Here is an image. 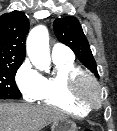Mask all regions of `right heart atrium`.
Returning <instances> with one entry per match:
<instances>
[{"label":"right heart atrium","mask_w":117,"mask_h":131,"mask_svg":"<svg viewBox=\"0 0 117 131\" xmlns=\"http://www.w3.org/2000/svg\"><path fill=\"white\" fill-rule=\"evenodd\" d=\"M42 75L26 60L18 69L15 80L23 97L35 101L42 86Z\"/></svg>","instance_id":"obj_1"}]
</instances>
